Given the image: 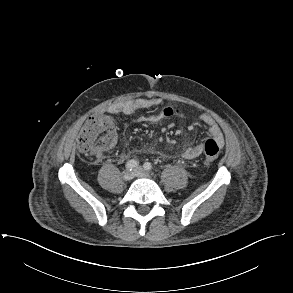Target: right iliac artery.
<instances>
[{
  "label": "right iliac artery",
  "instance_id": "right-iliac-artery-1",
  "mask_svg": "<svg viewBox=\"0 0 293 293\" xmlns=\"http://www.w3.org/2000/svg\"><path fill=\"white\" fill-rule=\"evenodd\" d=\"M125 166H126L127 170L131 171L138 166V162L136 160L132 159V160H129Z\"/></svg>",
  "mask_w": 293,
  "mask_h": 293
}]
</instances>
